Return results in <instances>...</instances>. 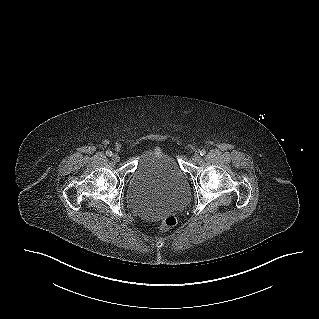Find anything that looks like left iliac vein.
Returning a JSON list of instances; mask_svg holds the SVG:
<instances>
[{"label":"left iliac vein","instance_id":"obj_1","mask_svg":"<svg viewBox=\"0 0 319 319\" xmlns=\"http://www.w3.org/2000/svg\"><path fill=\"white\" fill-rule=\"evenodd\" d=\"M192 160L194 162H199L201 160L200 154H198V153L194 154L193 157H192Z\"/></svg>","mask_w":319,"mask_h":319}]
</instances>
